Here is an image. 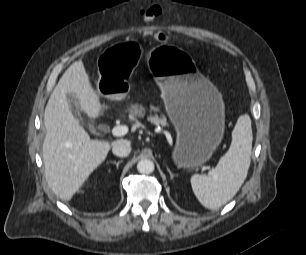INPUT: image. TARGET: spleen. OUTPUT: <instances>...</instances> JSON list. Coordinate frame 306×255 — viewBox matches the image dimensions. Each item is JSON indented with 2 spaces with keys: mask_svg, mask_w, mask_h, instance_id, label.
<instances>
[{
  "mask_svg": "<svg viewBox=\"0 0 306 255\" xmlns=\"http://www.w3.org/2000/svg\"><path fill=\"white\" fill-rule=\"evenodd\" d=\"M252 141L251 119L248 114L241 115L232 131L229 150L220 158L213 174L191 177L193 192L205 208L218 209L239 191L250 166Z\"/></svg>",
  "mask_w": 306,
  "mask_h": 255,
  "instance_id": "1",
  "label": "spleen"
}]
</instances>
